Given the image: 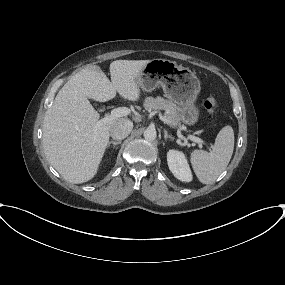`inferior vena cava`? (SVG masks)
Instances as JSON below:
<instances>
[{
  "instance_id": "inferior-vena-cava-1",
  "label": "inferior vena cava",
  "mask_w": 285,
  "mask_h": 285,
  "mask_svg": "<svg viewBox=\"0 0 285 285\" xmlns=\"http://www.w3.org/2000/svg\"><path fill=\"white\" fill-rule=\"evenodd\" d=\"M133 129V123L125 118L118 119L110 129V135L115 140L126 138Z\"/></svg>"
}]
</instances>
